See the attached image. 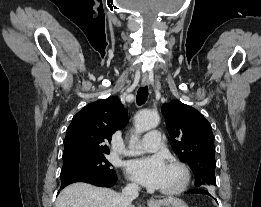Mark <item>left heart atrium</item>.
I'll list each match as a JSON object with an SVG mask.
<instances>
[{"label": "left heart atrium", "instance_id": "obj_1", "mask_svg": "<svg viewBox=\"0 0 261 207\" xmlns=\"http://www.w3.org/2000/svg\"><path fill=\"white\" fill-rule=\"evenodd\" d=\"M166 164L160 156H151L131 160L127 163L130 175L149 188H159Z\"/></svg>", "mask_w": 261, "mask_h": 207}]
</instances>
